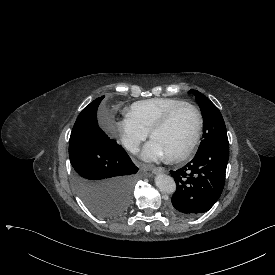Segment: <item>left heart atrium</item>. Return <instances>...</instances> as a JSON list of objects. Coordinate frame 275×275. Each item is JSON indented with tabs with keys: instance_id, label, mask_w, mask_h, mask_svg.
<instances>
[{
	"instance_id": "39dd6f15",
	"label": "left heart atrium",
	"mask_w": 275,
	"mask_h": 275,
	"mask_svg": "<svg viewBox=\"0 0 275 275\" xmlns=\"http://www.w3.org/2000/svg\"><path fill=\"white\" fill-rule=\"evenodd\" d=\"M142 157L147 161H157L168 157L166 152L153 140L146 146Z\"/></svg>"
}]
</instances>
